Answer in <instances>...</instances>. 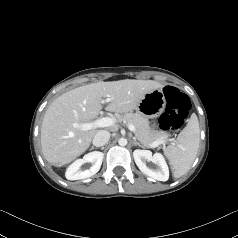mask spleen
I'll return each instance as SVG.
<instances>
[{"instance_id": "1", "label": "spleen", "mask_w": 238, "mask_h": 238, "mask_svg": "<svg viewBox=\"0 0 238 238\" xmlns=\"http://www.w3.org/2000/svg\"><path fill=\"white\" fill-rule=\"evenodd\" d=\"M199 142V122L193 113L186 127L179 133L176 144L164 149V155L170 162L174 177L179 178L188 172L197 156Z\"/></svg>"}]
</instances>
